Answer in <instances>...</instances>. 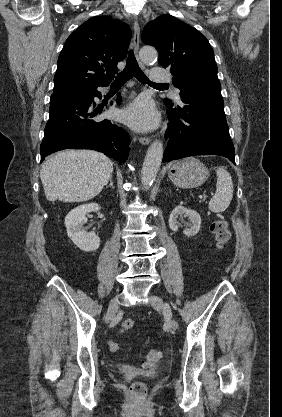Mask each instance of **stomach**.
<instances>
[{
  "label": "stomach",
  "instance_id": "obj_1",
  "mask_svg": "<svg viewBox=\"0 0 282 417\" xmlns=\"http://www.w3.org/2000/svg\"><path fill=\"white\" fill-rule=\"evenodd\" d=\"M168 176L179 188H195L207 180L209 170L198 158L187 156V158L171 164Z\"/></svg>",
  "mask_w": 282,
  "mask_h": 417
}]
</instances>
